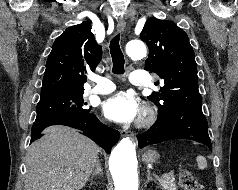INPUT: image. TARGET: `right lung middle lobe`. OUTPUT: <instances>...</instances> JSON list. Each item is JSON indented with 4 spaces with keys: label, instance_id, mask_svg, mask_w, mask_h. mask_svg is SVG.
<instances>
[{
    "label": "right lung middle lobe",
    "instance_id": "dd1d6c3e",
    "mask_svg": "<svg viewBox=\"0 0 238 190\" xmlns=\"http://www.w3.org/2000/svg\"><path fill=\"white\" fill-rule=\"evenodd\" d=\"M85 105L87 104L84 103L83 92L40 98L36 120L90 113V109L84 108Z\"/></svg>",
    "mask_w": 238,
    "mask_h": 190
}]
</instances>
